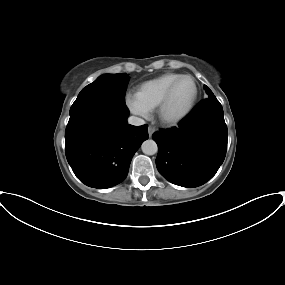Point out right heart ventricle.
<instances>
[{"mask_svg": "<svg viewBox=\"0 0 285 285\" xmlns=\"http://www.w3.org/2000/svg\"><path fill=\"white\" fill-rule=\"evenodd\" d=\"M179 73H165L154 79L148 80L140 84L134 94L136 102L147 111L154 110L169 85L177 79Z\"/></svg>", "mask_w": 285, "mask_h": 285, "instance_id": "1", "label": "right heart ventricle"}]
</instances>
